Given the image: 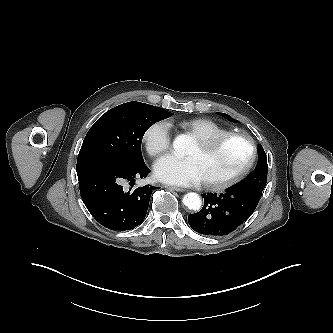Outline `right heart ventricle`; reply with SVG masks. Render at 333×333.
<instances>
[{"label": "right heart ventricle", "instance_id": "e07e8e85", "mask_svg": "<svg viewBox=\"0 0 333 333\" xmlns=\"http://www.w3.org/2000/svg\"><path fill=\"white\" fill-rule=\"evenodd\" d=\"M179 126L190 133L196 140L216 137L228 132L226 128L208 118L183 120Z\"/></svg>", "mask_w": 333, "mask_h": 333}]
</instances>
